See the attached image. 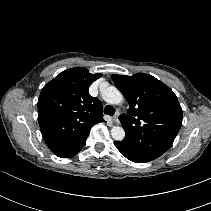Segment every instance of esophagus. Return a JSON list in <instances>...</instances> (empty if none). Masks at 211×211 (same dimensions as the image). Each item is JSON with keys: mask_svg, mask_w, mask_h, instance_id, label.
I'll return each instance as SVG.
<instances>
[{"mask_svg": "<svg viewBox=\"0 0 211 211\" xmlns=\"http://www.w3.org/2000/svg\"><path fill=\"white\" fill-rule=\"evenodd\" d=\"M119 113H117L114 117H113V121L115 122V123H119Z\"/></svg>", "mask_w": 211, "mask_h": 211, "instance_id": "esophagus-1", "label": "esophagus"}]
</instances>
